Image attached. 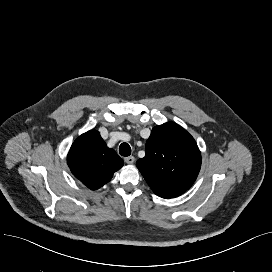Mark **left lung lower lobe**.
<instances>
[{"mask_svg":"<svg viewBox=\"0 0 272 272\" xmlns=\"http://www.w3.org/2000/svg\"><path fill=\"white\" fill-rule=\"evenodd\" d=\"M162 198H166V199H169L168 197H162Z\"/></svg>","mask_w":272,"mask_h":272,"instance_id":"obj_1","label":"left lung lower lobe"}]
</instances>
